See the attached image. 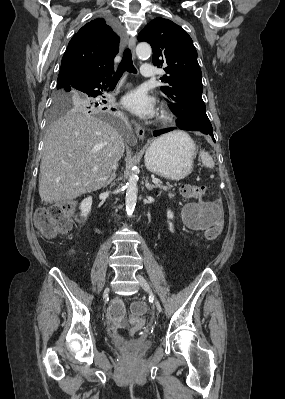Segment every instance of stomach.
<instances>
[{
    "label": "stomach",
    "mask_w": 285,
    "mask_h": 399,
    "mask_svg": "<svg viewBox=\"0 0 285 399\" xmlns=\"http://www.w3.org/2000/svg\"><path fill=\"white\" fill-rule=\"evenodd\" d=\"M195 145L184 132L156 139L145 153L148 170L166 179L179 180L191 173Z\"/></svg>",
    "instance_id": "1"
}]
</instances>
